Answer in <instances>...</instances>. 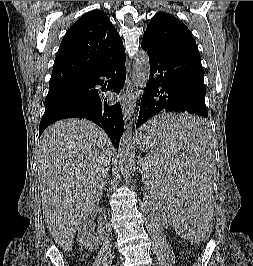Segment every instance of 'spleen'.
Instances as JSON below:
<instances>
[{
    "label": "spleen",
    "instance_id": "1",
    "mask_svg": "<svg viewBox=\"0 0 253 266\" xmlns=\"http://www.w3.org/2000/svg\"><path fill=\"white\" fill-rule=\"evenodd\" d=\"M200 111H164L149 117L142 138L139 171L144 187L162 204L183 242H206L215 235L211 207L214 142L208 141Z\"/></svg>",
    "mask_w": 253,
    "mask_h": 266
}]
</instances>
